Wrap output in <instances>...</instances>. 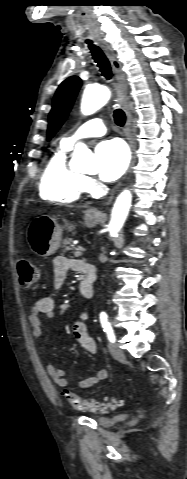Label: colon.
<instances>
[{"label":"colon","instance_id":"5ec220e1","mask_svg":"<svg viewBox=\"0 0 187 479\" xmlns=\"http://www.w3.org/2000/svg\"><path fill=\"white\" fill-rule=\"evenodd\" d=\"M17 272L19 276V284L23 289L32 288L39 279L38 270L26 258H20L17 261ZM63 395L70 405L78 411H91L96 413H107L123 404V400L112 398L108 401H87L82 400L76 394L65 389Z\"/></svg>","mask_w":187,"mask_h":479}]
</instances>
